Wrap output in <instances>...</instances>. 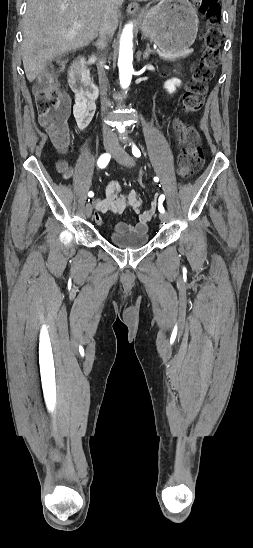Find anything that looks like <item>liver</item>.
<instances>
[{
	"label": "liver",
	"mask_w": 253,
	"mask_h": 548,
	"mask_svg": "<svg viewBox=\"0 0 253 548\" xmlns=\"http://www.w3.org/2000/svg\"><path fill=\"white\" fill-rule=\"evenodd\" d=\"M105 0H27L22 60L33 82L48 62L88 46L99 34ZM119 11L114 28L119 22Z\"/></svg>",
	"instance_id": "obj_1"
}]
</instances>
